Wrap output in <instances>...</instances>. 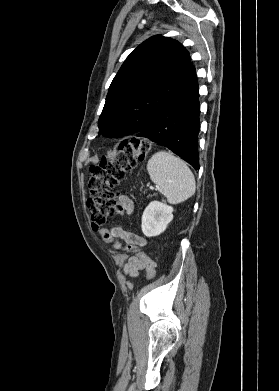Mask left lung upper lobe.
<instances>
[{"instance_id": "left-lung-upper-lobe-1", "label": "left lung upper lobe", "mask_w": 279, "mask_h": 391, "mask_svg": "<svg viewBox=\"0 0 279 391\" xmlns=\"http://www.w3.org/2000/svg\"><path fill=\"white\" fill-rule=\"evenodd\" d=\"M195 67L176 40L153 36L140 44L114 77L99 117V133L141 132L190 83Z\"/></svg>"}]
</instances>
